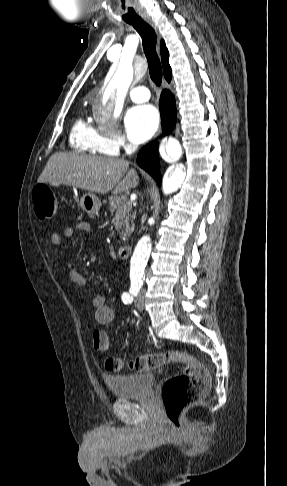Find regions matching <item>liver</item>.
I'll list each match as a JSON object with an SVG mask.
<instances>
[{
	"mask_svg": "<svg viewBox=\"0 0 287 486\" xmlns=\"http://www.w3.org/2000/svg\"><path fill=\"white\" fill-rule=\"evenodd\" d=\"M38 183L72 185L101 194L109 191L118 194L137 187L139 177L123 159L59 152L49 158Z\"/></svg>",
	"mask_w": 287,
	"mask_h": 486,
	"instance_id": "1",
	"label": "liver"
}]
</instances>
